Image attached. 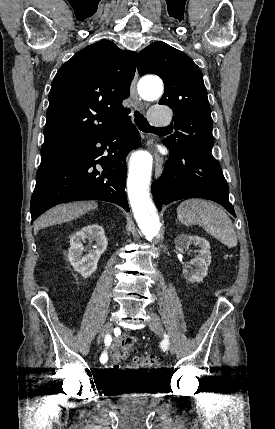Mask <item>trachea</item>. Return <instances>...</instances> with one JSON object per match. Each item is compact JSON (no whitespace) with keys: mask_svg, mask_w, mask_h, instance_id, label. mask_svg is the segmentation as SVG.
<instances>
[{"mask_svg":"<svg viewBox=\"0 0 275 429\" xmlns=\"http://www.w3.org/2000/svg\"><path fill=\"white\" fill-rule=\"evenodd\" d=\"M135 116V123L137 127L143 131V132H159V131H168L169 129L166 128H155L149 125L147 119L138 111L134 112Z\"/></svg>","mask_w":275,"mask_h":429,"instance_id":"1","label":"trachea"}]
</instances>
